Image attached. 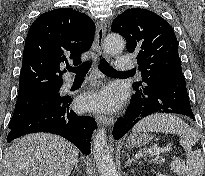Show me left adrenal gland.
I'll return each mask as SVG.
<instances>
[{
  "instance_id": "1",
  "label": "left adrenal gland",
  "mask_w": 205,
  "mask_h": 176,
  "mask_svg": "<svg viewBox=\"0 0 205 176\" xmlns=\"http://www.w3.org/2000/svg\"><path fill=\"white\" fill-rule=\"evenodd\" d=\"M138 159L137 158H133L130 156V154H127V162H126V166H130L132 162H137Z\"/></svg>"
}]
</instances>
